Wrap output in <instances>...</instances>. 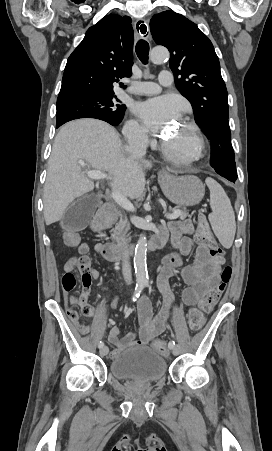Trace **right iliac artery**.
<instances>
[{
  "mask_svg": "<svg viewBox=\"0 0 272 451\" xmlns=\"http://www.w3.org/2000/svg\"><path fill=\"white\" fill-rule=\"evenodd\" d=\"M144 287H145V281L137 282L136 287H135V291H134L133 296L131 298V300L133 302H135L139 298V296H140L141 292L143 291ZM103 345H104V343L102 341H100L99 344H98V347L101 348V347H103Z\"/></svg>",
  "mask_w": 272,
  "mask_h": 451,
  "instance_id": "right-iliac-artery-1",
  "label": "right iliac artery"
}]
</instances>
